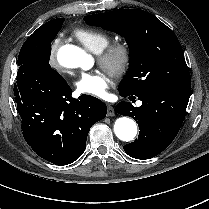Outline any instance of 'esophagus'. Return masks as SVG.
<instances>
[{"instance_id":"obj_1","label":"esophagus","mask_w":209,"mask_h":209,"mask_svg":"<svg viewBox=\"0 0 209 209\" xmlns=\"http://www.w3.org/2000/svg\"><path fill=\"white\" fill-rule=\"evenodd\" d=\"M115 115V110L111 104H107V116L112 117Z\"/></svg>"}]
</instances>
